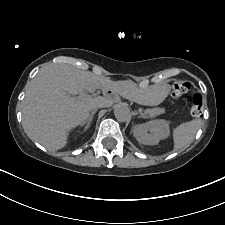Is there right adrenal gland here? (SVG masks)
Here are the masks:
<instances>
[{"mask_svg": "<svg viewBox=\"0 0 225 225\" xmlns=\"http://www.w3.org/2000/svg\"><path fill=\"white\" fill-rule=\"evenodd\" d=\"M96 112H97V110H93V111L90 113L89 118L87 119V121H86L84 124H82V126L85 125L84 131H86V130L90 127L91 122H92L93 117H94V115H95Z\"/></svg>", "mask_w": 225, "mask_h": 225, "instance_id": "obj_1", "label": "right adrenal gland"}]
</instances>
